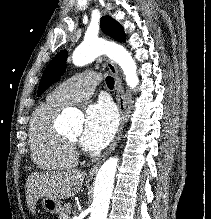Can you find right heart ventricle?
Returning a JSON list of instances; mask_svg holds the SVG:
<instances>
[{
    "mask_svg": "<svg viewBox=\"0 0 211 219\" xmlns=\"http://www.w3.org/2000/svg\"><path fill=\"white\" fill-rule=\"evenodd\" d=\"M64 106L49 99L37 107L30 121L29 143L33 162L41 169L58 170L73 167L76 155L55 128V120Z\"/></svg>",
    "mask_w": 211,
    "mask_h": 219,
    "instance_id": "1",
    "label": "right heart ventricle"
}]
</instances>
